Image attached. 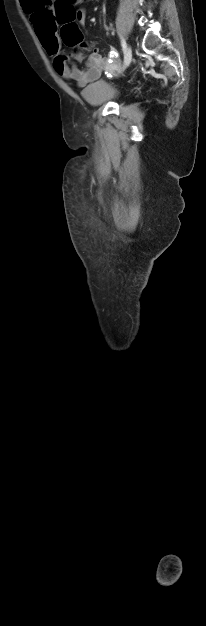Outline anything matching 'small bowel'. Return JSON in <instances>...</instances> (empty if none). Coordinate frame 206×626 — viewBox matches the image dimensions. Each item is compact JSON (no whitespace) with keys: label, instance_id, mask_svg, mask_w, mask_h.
I'll use <instances>...</instances> for the list:
<instances>
[{"label":"small bowel","instance_id":"c3829d8e","mask_svg":"<svg viewBox=\"0 0 206 626\" xmlns=\"http://www.w3.org/2000/svg\"><path fill=\"white\" fill-rule=\"evenodd\" d=\"M29 10V9H28ZM28 13L31 16L35 32L49 55H52L53 66L56 73L66 80L76 82L80 87L97 80L103 71L111 70L117 63V52L110 49L104 57L99 50L95 49L89 56L87 65L81 69L70 65L67 58L59 52L57 40V21L50 0H44L40 10L32 9ZM74 19L83 24L86 19V9L81 7L74 13Z\"/></svg>","mask_w":206,"mask_h":626}]
</instances>
